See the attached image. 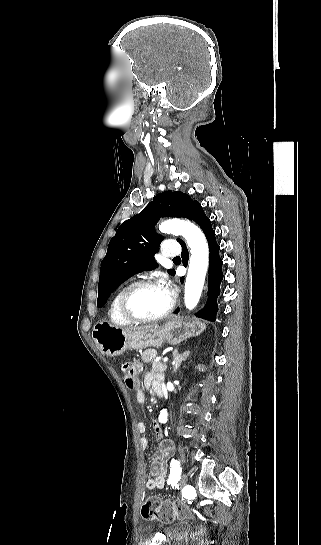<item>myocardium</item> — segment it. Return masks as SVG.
<instances>
[{
    "label": "myocardium",
    "mask_w": 321,
    "mask_h": 545,
    "mask_svg": "<svg viewBox=\"0 0 321 545\" xmlns=\"http://www.w3.org/2000/svg\"><path fill=\"white\" fill-rule=\"evenodd\" d=\"M161 287L158 282L147 280V281H139L135 282L128 287H126L122 293L120 294L119 300H118V311L121 316V318L127 322L129 325H143V324H149L154 322H159L164 320L168 315L173 311L174 309V299L171 300V304L169 308L163 312L162 314L147 317V318H136L132 316L128 310H127V301L128 298L135 292L142 290V289H153Z\"/></svg>",
    "instance_id": "obj_1"
}]
</instances>
